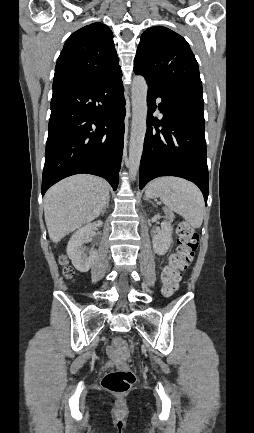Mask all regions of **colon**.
Wrapping results in <instances>:
<instances>
[{"label":"colon","instance_id":"colon-1","mask_svg":"<svg viewBox=\"0 0 254 433\" xmlns=\"http://www.w3.org/2000/svg\"><path fill=\"white\" fill-rule=\"evenodd\" d=\"M177 233L179 236V245L177 251L171 255L168 264L161 270V280L166 286L165 294L170 296L174 294L178 287L179 271L193 258L194 252L198 247L199 237L196 231L186 222L178 224ZM61 262L66 263V258L62 257ZM73 269L66 267L64 274L66 277H72ZM116 347L120 353L126 350V343L123 339L117 338ZM135 382V375L129 369H116L105 374L102 379V385L105 390L113 394L127 393Z\"/></svg>","mask_w":254,"mask_h":433}]
</instances>
